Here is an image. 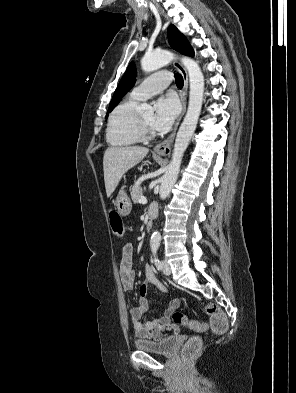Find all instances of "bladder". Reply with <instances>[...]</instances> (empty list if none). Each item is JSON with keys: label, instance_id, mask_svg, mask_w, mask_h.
<instances>
[{"label": "bladder", "instance_id": "1", "mask_svg": "<svg viewBox=\"0 0 296 393\" xmlns=\"http://www.w3.org/2000/svg\"><path fill=\"white\" fill-rule=\"evenodd\" d=\"M134 345L140 351L169 356L177 347V338L175 336H164L159 339H138Z\"/></svg>", "mask_w": 296, "mask_h": 393}]
</instances>
